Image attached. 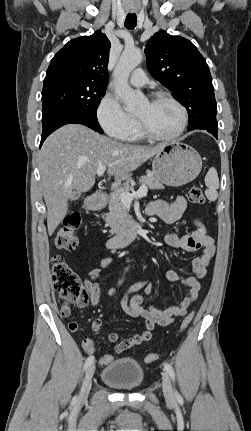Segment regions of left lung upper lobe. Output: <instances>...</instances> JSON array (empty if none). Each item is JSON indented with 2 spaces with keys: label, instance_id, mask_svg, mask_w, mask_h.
<instances>
[{
  "label": "left lung upper lobe",
  "instance_id": "5c2ea615",
  "mask_svg": "<svg viewBox=\"0 0 251 431\" xmlns=\"http://www.w3.org/2000/svg\"><path fill=\"white\" fill-rule=\"evenodd\" d=\"M147 68L171 90L188 112L192 129H218L217 104L208 65L196 46L181 36L161 30L146 44Z\"/></svg>",
  "mask_w": 251,
  "mask_h": 431
}]
</instances>
